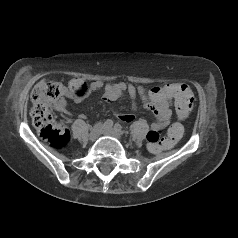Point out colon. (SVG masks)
I'll return each instance as SVG.
<instances>
[{
    "label": "colon",
    "mask_w": 238,
    "mask_h": 238,
    "mask_svg": "<svg viewBox=\"0 0 238 238\" xmlns=\"http://www.w3.org/2000/svg\"><path fill=\"white\" fill-rule=\"evenodd\" d=\"M65 91V87L60 82L42 80L35 85L31 94L32 123L42 139L56 148L64 147L70 139L69 131L63 125L56 123L51 113L52 107L62 100ZM169 93L175 99L176 117L182 121L187 120L194 104L192 91L187 85L178 84L170 89ZM161 132V129H151L147 134L149 150L152 153L172 147L181 138L183 128L180 124H173L165 138H161Z\"/></svg>",
    "instance_id": "1"
}]
</instances>
